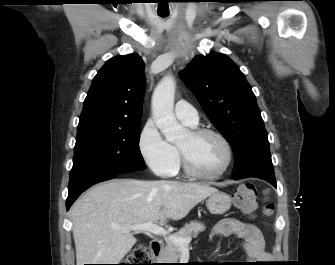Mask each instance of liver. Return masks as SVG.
I'll use <instances>...</instances> for the list:
<instances>
[{"label":"liver","instance_id":"6515ba94","mask_svg":"<svg viewBox=\"0 0 335 265\" xmlns=\"http://www.w3.org/2000/svg\"><path fill=\"white\" fill-rule=\"evenodd\" d=\"M218 191L197 183L114 179L88 190L72 206L76 265L118 264L136 243L129 227L181 220Z\"/></svg>","mask_w":335,"mask_h":265}]
</instances>
